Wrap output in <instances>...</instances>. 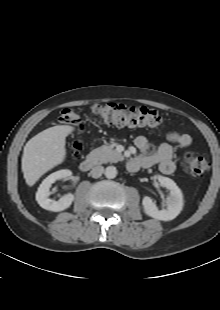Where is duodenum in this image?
Returning <instances> with one entry per match:
<instances>
[{"instance_id": "1", "label": "duodenum", "mask_w": 220, "mask_h": 310, "mask_svg": "<svg viewBox=\"0 0 220 310\" xmlns=\"http://www.w3.org/2000/svg\"><path fill=\"white\" fill-rule=\"evenodd\" d=\"M95 165V160L93 158H86L79 163V168L82 172H89ZM127 166L130 170L136 171L139 167V162L137 159H131L128 161Z\"/></svg>"}]
</instances>
